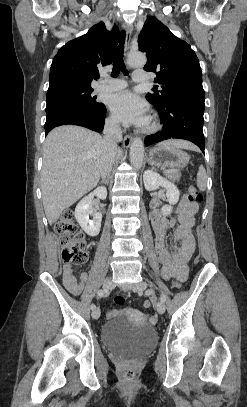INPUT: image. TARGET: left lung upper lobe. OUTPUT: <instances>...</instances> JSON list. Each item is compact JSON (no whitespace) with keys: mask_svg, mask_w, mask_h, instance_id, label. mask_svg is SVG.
Masks as SVG:
<instances>
[{"mask_svg":"<svg viewBox=\"0 0 247 407\" xmlns=\"http://www.w3.org/2000/svg\"><path fill=\"white\" fill-rule=\"evenodd\" d=\"M139 50L146 52L145 71L156 72L154 87L146 99L157 110L171 101L191 99L204 102L202 74L195 52L155 17L147 18L138 38Z\"/></svg>","mask_w":247,"mask_h":407,"instance_id":"5c2ea615","label":"left lung upper lobe"}]
</instances>
